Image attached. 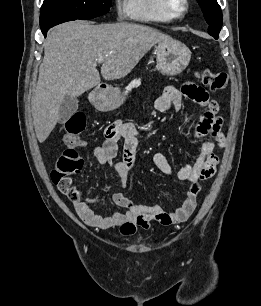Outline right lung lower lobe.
Masks as SVG:
<instances>
[{
  "instance_id": "right-lung-lower-lobe-1",
  "label": "right lung lower lobe",
  "mask_w": 261,
  "mask_h": 306,
  "mask_svg": "<svg viewBox=\"0 0 261 306\" xmlns=\"http://www.w3.org/2000/svg\"><path fill=\"white\" fill-rule=\"evenodd\" d=\"M72 20H76V18L66 16H40V27L43 35L46 37L47 31L51 27Z\"/></svg>"
}]
</instances>
